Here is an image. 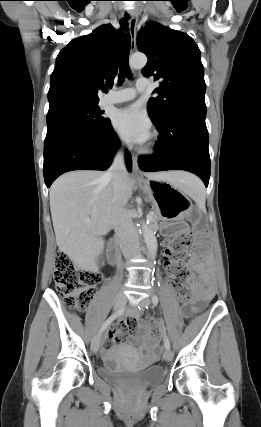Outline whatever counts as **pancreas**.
<instances>
[{"mask_svg":"<svg viewBox=\"0 0 261 427\" xmlns=\"http://www.w3.org/2000/svg\"><path fill=\"white\" fill-rule=\"evenodd\" d=\"M150 221L152 222V226L156 227L157 226V222L159 220V215L157 214V212L152 211L150 212Z\"/></svg>","mask_w":261,"mask_h":427,"instance_id":"obj_1","label":"pancreas"}]
</instances>
